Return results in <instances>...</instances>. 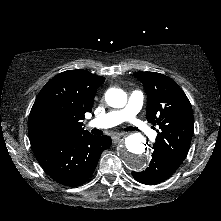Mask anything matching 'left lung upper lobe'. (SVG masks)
<instances>
[{"label": "left lung upper lobe", "mask_w": 221, "mask_h": 221, "mask_svg": "<svg viewBox=\"0 0 221 221\" xmlns=\"http://www.w3.org/2000/svg\"><path fill=\"white\" fill-rule=\"evenodd\" d=\"M147 94L146 118L159 126L154 149L178 168L189 151L194 132L191 104L171 78L156 72H136Z\"/></svg>", "instance_id": "obj_1"}]
</instances>
